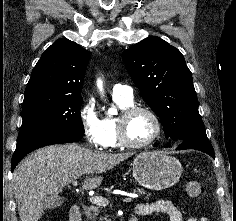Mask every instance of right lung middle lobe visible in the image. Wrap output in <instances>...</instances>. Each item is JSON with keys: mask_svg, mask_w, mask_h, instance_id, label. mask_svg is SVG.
<instances>
[{"mask_svg": "<svg viewBox=\"0 0 236 221\" xmlns=\"http://www.w3.org/2000/svg\"><path fill=\"white\" fill-rule=\"evenodd\" d=\"M81 95L48 92L26 94L22 109L20 134L34 129L65 130L83 134Z\"/></svg>", "mask_w": 236, "mask_h": 221, "instance_id": "dd1d6c3e", "label": "right lung middle lobe"}]
</instances>
